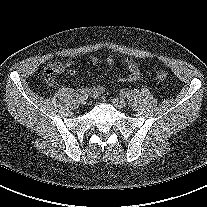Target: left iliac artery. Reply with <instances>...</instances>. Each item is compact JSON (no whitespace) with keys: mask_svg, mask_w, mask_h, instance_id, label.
<instances>
[{"mask_svg":"<svg viewBox=\"0 0 207 207\" xmlns=\"http://www.w3.org/2000/svg\"><path fill=\"white\" fill-rule=\"evenodd\" d=\"M127 95V92L125 90L120 91V96L125 97Z\"/></svg>","mask_w":207,"mask_h":207,"instance_id":"left-iliac-artery-1","label":"left iliac artery"}]
</instances>
